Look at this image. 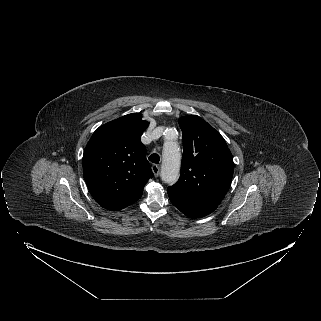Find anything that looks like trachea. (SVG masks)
<instances>
[{"mask_svg":"<svg viewBox=\"0 0 321 321\" xmlns=\"http://www.w3.org/2000/svg\"><path fill=\"white\" fill-rule=\"evenodd\" d=\"M149 161H151L152 163H159V161H160V157H159V155L158 154H151L150 156H149Z\"/></svg>","mask_w":321,"mask_h":321,"instance_id":"1","label":"trachea"}]
</instances>
